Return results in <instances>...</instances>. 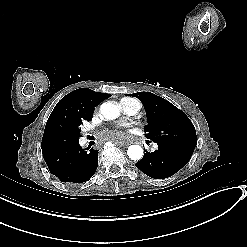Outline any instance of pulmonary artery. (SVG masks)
I'll list each match as a JSON object with an SVG mask.
<instances>
[{
  "label": "pulmonary artery",
  "mask_w": 247,
  "mask_h": 247,
  "mask_svg": "<svg viewBox=\"0 0 247 247\" xmlns=\"http://www.w3.org/2000/svg\"><path fill=\"white\" fill-rule=\"evenodd\" d=\"M134 108H135V106H129V107L126 108V110H131V109H134ZM150 149H151V151L156 152V151H158L159 146H158V144L153 143V144H151Z\"/></svg>",
  "instance_id": "1"
}]
</instances>
